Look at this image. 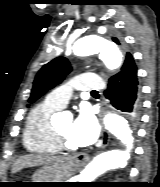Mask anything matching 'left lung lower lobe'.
<instances>
[{"mask_svg": "<svg viewBox=\"0 0 160 187\" xmlns=\"http://www.w3.org/2000/svg\"><path fill=\"white\" fill-rule=\"evenodd\" d=\"M105 96L113 107L137 121L141 111V91L132 55L125 58L120 72L109 79Z\"/></svg>", "mask_w": 160, "mask_h": 187, "instance_id": "obj_1", "label": "left lung lower lobe"}]
</instances>
